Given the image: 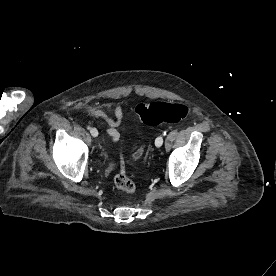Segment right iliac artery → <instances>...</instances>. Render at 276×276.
<instances>
[{"instance_id":"1","label":"right iliac artery","mask_w":276,"mask_h":276,"mask_svg":"<svg viewBox=\"0 0 276 276\" xmlns=\"http://www.w3.org/2000/svg\"><path fill=\"white\" fill-rule=\"evenodd\" d=\"M87 129H89V130H90V129H91V127H90V126H88V127H87Z\"/></svg>"}]
</instances>
